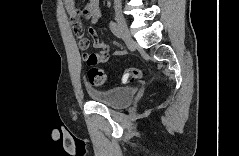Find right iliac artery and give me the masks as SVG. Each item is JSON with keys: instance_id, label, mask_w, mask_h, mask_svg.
I'll use <instances>...</instances> for the list:
<instances>
[{"instance_id": "right-iliac-artery-1", "label": "right iliac artery", "mask_w": 239, "mask_h": 156, "mask_svg": "<svg viewBox=\"0 0 239 156\" xmlns=\"http://www.w3.org/2000/svg\"><path fill=\"white\" fill-rule=\"evenodd\" d=\"M110 29L115 36H117L118 38L122 37L121 30L116 22H114V21L110 22Z\"/></svg>"}]
</instances>
